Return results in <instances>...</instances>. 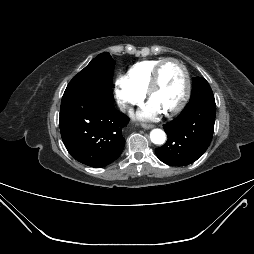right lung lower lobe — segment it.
Segmentation results:
<instances>
[{"instance_id":"obj_1","label":"right lung lower lobe","mask_w":254,"mask_h":254,"mask_svg":"<svg viewBox=\"0 0 254 254\" xmlns=\"http://www.w3.org/2000/svg\"><path fill=\"white\" fill-rule=\"evenodd\" d=\"M113 101V95L95 98L78 92L64 93L60 132L66 149L77 161L100 168L122 153V130L130 119L114 108Z\"/></svg>"}]
</instances>
